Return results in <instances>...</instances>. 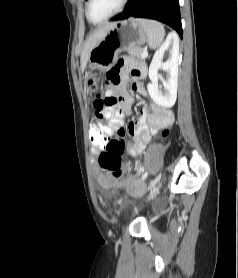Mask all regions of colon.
Listing matches in <instances>:
<instances>
[{
  "instance_id": "5ec220e1",
  "label": "colon",
  "mask_w": 238,
  "mask_h": 278,
  "mask_svg": "<svg viewBox=\"0 0 238 278\" xmlns=\"http://www.w3.org/2000/svg\"><path fill=\"white\" fill-rule=\"evenodd\" d=\"M105 84L107 90L103 94H99L94 102L96 117L101 124L88 125L89 129H99L89 130V135H94L89 137V142H91L93 156H100V166L112 176L119 177L121 175V157L124 149H127V144L125 142L109 144L108 142L110 135L116 132V127H119L121 106L112 91L113 85L107 81L106 75Z\"/></svg>"
}]
</instances>
